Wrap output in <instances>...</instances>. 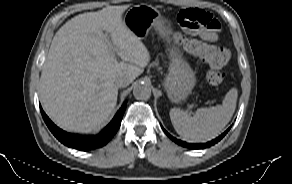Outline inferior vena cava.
<instances>
[{
	"label": "inferior vena cava",
	"mask_w": 292,
	"mask_h": 184,
	"mask_svg": "<svg viewBox=\"0 0 292 184\" xmlns=\"http://www.w3.org/2000/svg\"><path fill=\"white\" fill-rule=\"evenodd\" d=\"M131 83V80L126 77H120L116 81V85L118 88L127 87Z\"/></svg>",
	"instance_id": "1"
}]
</instances>
